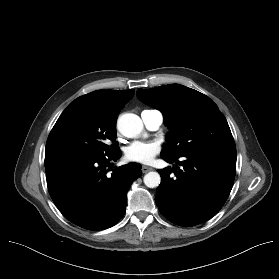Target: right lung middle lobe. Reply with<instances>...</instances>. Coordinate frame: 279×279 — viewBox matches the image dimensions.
<instances>
[{
  "instance_id": "1",
  "label": "right lung middle lobe",
  "mask_w": 279,
  "mask_h": 279,
  "mask_svg": "<svg viewBox=\"0 0 279 279\" xmlns=\"http://www.w3.org/2000/svg\"><path fill=\"white\" fill-rule=\"evenodd\" d=\"M116 122L76 99L64 110L46 143L45 159L62 155L103 156L118 150Z\"/></svg>"
}]
</instances>
